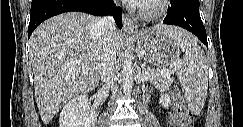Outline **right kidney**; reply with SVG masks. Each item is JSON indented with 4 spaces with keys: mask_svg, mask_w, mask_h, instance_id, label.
Listing matches in <instances>:
<instances>
[{
    "mask_svg": "<svg viewBox=\"0 0 243 127\" xmlns=\"http://www.w3.org/2000/svg\"><path fill=\"white\" fill-rule=\"evenodd\" d=\"M86 95H78L65 103L60 113V127H94L97 114L89 108Z\"/></svg>",
    "mask_w": 243,
    "mask_h": 127,
    "instance_id": "obj_1",
    "label": "right kidney"
}]
</instances>
